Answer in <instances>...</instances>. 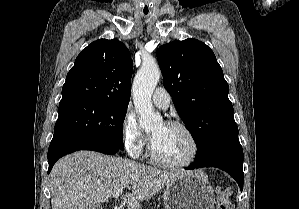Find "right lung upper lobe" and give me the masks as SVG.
I'll return each instance as SVG.
<instances>
[{
    "label": "right lung upper lobe",
    "instance_id": "right-lung-upper-lobe-1",
    "mask_svg": "<svg viewBox=\"0 0 299 209\" xmlns=\"http://www.w3.org/2000/svg\"><path fill=\"white\" fill-rule=\"evenodd\" d=\"M133 61L127 47L113 39L88 45L67 74L59 104L128 105Z\"/></svg>",
    "mask_w": 299,
    "mask_h": 209
}]
</instances>
